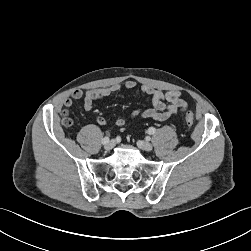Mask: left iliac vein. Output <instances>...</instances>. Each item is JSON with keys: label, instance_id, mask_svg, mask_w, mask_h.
<instances>
[{"label": "left iliac vein", "instance_id": "4c4485c4", "mask_svg": "<svg viewBox=\"0 0 251 251\" xmlns=\"http://www.w3.org/2000/svg\"><path fill=\"white\" fill-rule=\"evenodd\" d=\"M137 145L139 148H141L142 150H145V151H151L153 148V146L150 142L142 141V140H139L137 142Z\"/></svg>", "mask_w": 251, "mask_h": 251}]
</instances>
